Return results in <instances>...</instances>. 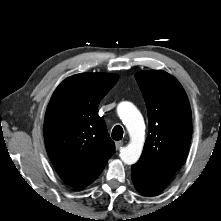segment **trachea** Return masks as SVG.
I'll use <instances>...</instances> for the list:
<instances>
[{"label":"trachea","instance_id":"3493384b","mask_svg":"<svg viewBox=\"0 0 221 221\" xmlns=\"http://www.w3.org/2000/svg\"><path fill=\"white\" fill-rule=\"evenodd\" d=\"M123 137V129L121 126L116 125L112 130V138L116 141L121 140Z\"/></svg>","mask_w":221,"mask_h":221}]
</instances>
